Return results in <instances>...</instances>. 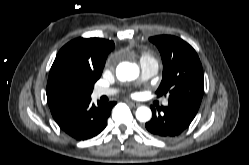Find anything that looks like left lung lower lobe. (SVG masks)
I'll return each mask as SVG.
<instances>
[{
    "mask_svg": "<svg viewBox=\"0 0 249 165\" xmlns=\"http://www.w3.org/2000/svg\"><path fill=\"white\" fill-rule=\"evenodd\" d=\"M152 119L145 124L146 129L156 137L171 138L181 134L192 122L198 108L188 104L169 101L168 106H151Z\"/></svg>",
    "mask_w": 249,
    "mask_h": 165,
    "instance_id": "obj_1",
    "label": "left lung lower lobe"
}]
</instances>
